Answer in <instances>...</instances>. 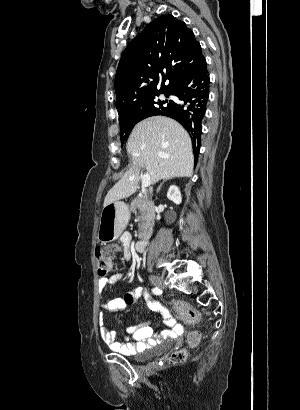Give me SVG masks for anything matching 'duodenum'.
<instances>
[{"instance_id":"obj_1","label":"duodenum","mask_w":300,"mask_h":410,"mask_svg":"<svg viewBox=\"0 0 300 410\" xmlns=\"http://www.w3.org/2000/svg\"><path fill=\"white\" fill-rule=\"evenodd\" d=\"M149 241V237H142L134 244V247L137 251H142L148 246Z\"/></svg>"}]
</instances>
